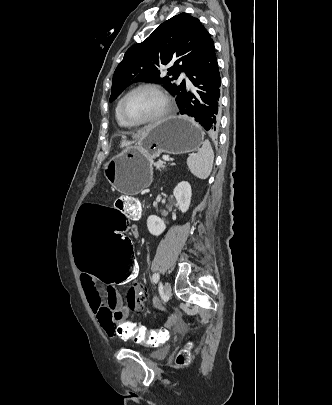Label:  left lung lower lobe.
Returning <instances> with one entry per match:
<instances>
[{
	"label": "left lung lower lobe",
	"instance_id": "obj_1",
	"mask_svg": "<svg viewBox=\"0 0 332 405\" xmlns=\"http://www.w3.org/2000/svg\"><path fill=\"white\" fill-rule=\"evenodd\" d=\"M188 78L194 88L176 99L180 114L193 117L207 131L215 133L220 123L221 78L214 44Z\"/></svg>",
	"mask_w": 332,
	"mask_h": 405
}]
</instances>
